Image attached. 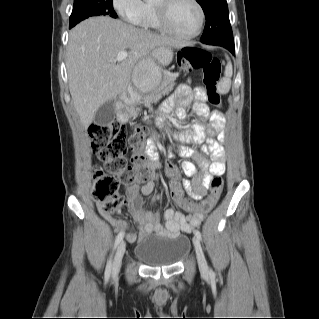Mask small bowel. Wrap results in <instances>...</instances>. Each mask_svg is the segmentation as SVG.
I'll return each mask as SVG.
<instances>
[{
  "label": "small bowel",
  "mask_w": 319,
  "mask_h": 319,
  "mask_svg": "<svg viewBox=\"0 0 319 319\" xmlns=\"http://www.w3.org/2000/svg\"><path fill=\"white\" fill-rule=\"evenodd\" d=\"M205 99L204 90L201 87L192 88L189 80L180 84L161 104L158 116V123L163 126L168 115L174 109L175 104H177V116L180 119H185L187 115L186 107L193 102V113L195 116L201 119H208V124L204 121H195L189 130L173 134V139L178 143L177 149L179 154L183 157L193 158L202 170V173H198L195 165L190 161H184L181 164L184 174L191 178L190 180L183 181V187L187 195L194 200H200L204 197L206 191L209 189L212 177L225 173V154L222 147L225 117L219 110L210 111ZM150 142L155 144L150 145L147 149L152 160L150 163L151 174L146 178L143 185L135 183L125 185L124 187L127 194L126 204L130 208L132 216L140 229L139 235L137 236L133 231H128L129 226L126 221L104 212L107 221L116 229L126 233V238L130 242L135 241L137 238L140 240L152 231H157L168 236L176 235L179 232H189L198 227L204 219V215L199 211L186 215L174 209H167L160 215L153 214L145 207L141 196L152 193L159 176L158 170L161 167L155 150L157 148L161 149L162 145L158 142L155 135ZM202 142H205V144L202 146L201 151L203 154L211 153V162L203 154L189 146ZM166 169L168 175L177 174V168L171 162L167 163ZM161 198L162 195L160 194L153 195L151 197V204ZM161 219H163V223Z\"/></svg>",
  "instance_id": "c3829d8e"
}]
</instances>
